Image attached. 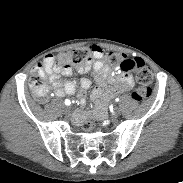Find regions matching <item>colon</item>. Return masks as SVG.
Returning <instances> with one entry per match:
<instances>
[{"label": "colon", "mask_w": 183, "mask_h": 183, "mask_svg": "<svg viewBox=\"0 0 183 183\" xmlns=\"http://www.w3.org/2000/svg\"><path fill=\"white\" fill-rule=\"evenodd\" d=\"M91 51L89 48L80 47L67 52H63L57 57V64L63 68L85 67L91 60ZM107 63L123 72L131 73L136 71L137 87L132 93L135 101H143L151 94L153 83V74L145 65L144 61L139 58L131 59L124 54L109 51L105 54ZM30 88L33 96L39 102H43L47 96V86L45 82V61H40L32 70L30 78ZM94 116L83 118L81 120V129L84 132L92 133L95 130Z\"/></svg>", "instance_id": "obj_1"}]
</instances>
